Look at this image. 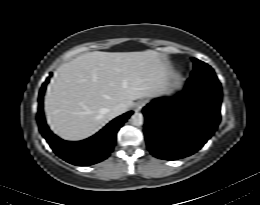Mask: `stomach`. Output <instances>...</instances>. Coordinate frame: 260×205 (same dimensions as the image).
Wrapping results in <instances>:
<instances>
[{
    "label": "stomach",
    "mask_w": 260,
    "mask_h": 205,
    "mask_svg": "<svg viewBox=\"0 0 260 205\" xmlns=\"http://www.w3.org/2000/svg\"><path fill=\"white\" fill-rule=\"evenodd\" d=\"M174 84H175V80L171 76H168L166 79V87L168 89H171V87H173Z\"/></svg>",
    "instance_id": "stomach-1"
}]
</instances>
